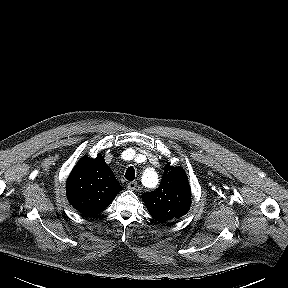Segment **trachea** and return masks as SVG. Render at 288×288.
I'll return each instance as SVG.
<instances>
[{"label":"trachea","instance_id":"1","mask_svg":"<svg viewBox=\"0 0 288 288\" xmlns=\"http://www.w3.org/2000/svg\"><path fill=\"white\" fill-rule=\"evenodd\" d=\"M125 178L128 181H133L135 179V170L133 167H128L127 171L125 172Z\"/></svg>","mask_w":288,"mask_h":288}]
</instances>
